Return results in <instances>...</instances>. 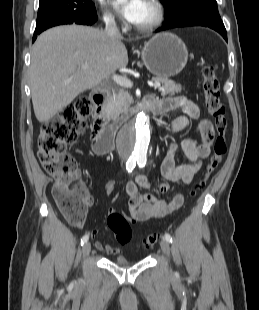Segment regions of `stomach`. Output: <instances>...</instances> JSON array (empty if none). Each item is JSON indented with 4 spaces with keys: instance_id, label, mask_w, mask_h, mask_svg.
Returning <instances> with one entry per match:
<instances>
[{
    "instance_id": "obj_1",
    "label": "stomach",
    "mask_w": 259,
    "mask_h": 310,
    "mask_svg": "<svg viewBox=\"0 0 259 310\" xmlns=\"http://www.w3.org/2000/svg\"><path fill=\"white\" fill-rule=\"evenodd\" d=\"M142 60L146 68L157 77L178 75L188 60L183 41L172 33H160L144 44Z\"/></svg>"
}]
</instances>
